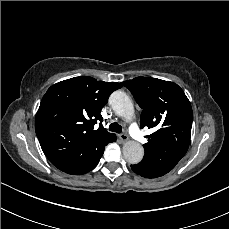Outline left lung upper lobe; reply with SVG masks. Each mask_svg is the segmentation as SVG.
Segmentation results:
<instances>
[{"mask_svg": "<svg viewBox=\"0 0 229 229\" xmlns=\"http://www.w3.org/2000/svg\"><path fill=\"white\" fill-rule=\"evenodd\" d=\"M143 109L140 127L156 131L145 143L141 165L160 177L171 171L188 150L193 113L184 91L175 83L136 77L122 82Z\"/></svg>", "mask_w": 229, "mask_h": 229, "instance_id": "5c2ea615", "label": "left lung upper lobe"}]
</instances>
